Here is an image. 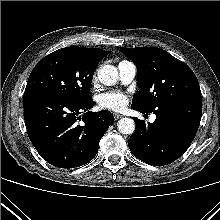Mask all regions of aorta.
<instances>
[{
    "label": "aorta",
    "instance_id": "obj_1",
    "mask_svg": "<svg viewBox=\"0 0 220 220\" xmlns=\"http://www.w3.org/2000/svg\"><path fill=\"white\" fill-rule=\"evenodd\" d=\"M99 81L107 86L114 85L118 80L117 68L113 65H103L98 70ZM117 127L122 134H133L135 131V122L131 118H122L118 121Z\"/></svg>",
    "mask_w": 220,
    "mask_h": 220
}]
</instances>
